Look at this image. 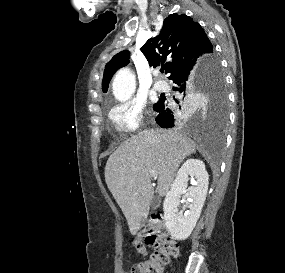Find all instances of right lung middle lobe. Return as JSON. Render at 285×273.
<instances>
[{"mask_svg": "<svg viewBox=\"0 0 285 273\" xmlns=\"http://www.w3.org/2000/svg\"><path fill=\"white\" fill-rule=\"evenodd\" d=\"M202 94L203 96L207 97H217L220 101V118L222 125H225L227 120V107H226V101H227V94L225 90V81L224 76L221 71L220 62L216 55L209 57V62L206 66L205 72H204V78L201 83V87L198 89H192L188 94L183 95L179 102L177 100V103L183 104V105H189L191 101L196 96H199Z\"/></svg>", "mask_w": 285, "mask_h": 273, "instance_id": "right-lung-middle-lobe-1", "label": "right lung middle lobe"}]
</instances>
